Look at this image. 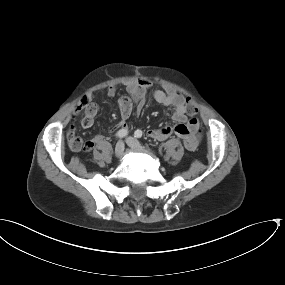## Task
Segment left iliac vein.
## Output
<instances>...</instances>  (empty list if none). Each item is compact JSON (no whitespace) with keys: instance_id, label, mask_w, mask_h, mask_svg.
<instances>
[{"instance_id":"obj_1","label":"left iliac vein","mask_w":285,"mask_h":285,"mask_svg":"<svg viewBox=\"0 0 285 285\" xmlns=\"http://www.w3.org/2000/svg\"><path fill=\"white\" fill-rule=\"evenodd\" d=\"M126 144L128 146L132 147V148H139V149L142 148V146L139 143V141L136 138H134V137H127L126 138Z\"/></svg>"}]
</instances>
